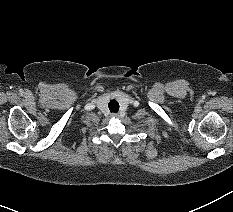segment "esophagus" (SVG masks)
Returning a JSON list of instances; mask_svg holds the SVG:
<instances>
[{
    "label": "esophagus",
    "instance_id": "34e87169",
    "mask_svg": "<svg viewBox=\"0 0 233 212\" xmlns=\"http://www.w3.org/2000/svg\"><path fill=\"white\" fill-rule=\"evenodd\" d=\"M112 117H118V114L117 113H113Z\"/></svg>",
    "mask_w": 233,
    "mask_h": 212
}]
</instances>
